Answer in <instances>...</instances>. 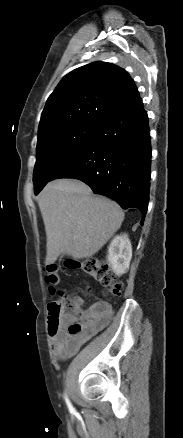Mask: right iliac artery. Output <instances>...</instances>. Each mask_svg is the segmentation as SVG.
Returning a JSON list of instances; mask_svg holds the SVG:
<instances>
[{"label":"right iliac artery","instance_id":"1","mask_svg":"<svg viewBox=\"0 0 183 438\" xmlns=\"http://www.w3.org/2000/svg\"><path fill=\"white\" fill-rule=\"evenodd\" d=\"M65 399H66V403H67L69 409L72 411V410H73V407L71 406V403L69 402V400L67 399V397H65Z\"/></svg>","mask_w":183,"mask_h":438}]
</instances>
